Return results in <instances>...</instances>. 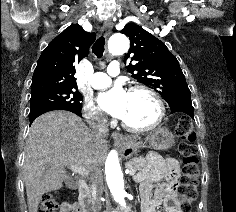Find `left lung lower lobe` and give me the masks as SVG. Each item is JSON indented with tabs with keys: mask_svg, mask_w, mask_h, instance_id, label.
<instances>
[{
	"mask_svg": "<svg viewBox=\"0 0 236 212\" xmlns=\"http://www.w3.org/2000/svg\"><path fill=\"white\" fill-rule=\"evenodd\" d=\"M168 104L171 107V113L182 112L194 119L190 94L177 95Z\"/></svg>",
	"mask_w": 236,
	"mask_h": 212,
	"instance_id": "left-lung-lower-lobe-1",
	"label": "left lung lower lobe"
}]
</instances>
